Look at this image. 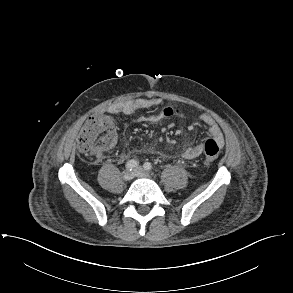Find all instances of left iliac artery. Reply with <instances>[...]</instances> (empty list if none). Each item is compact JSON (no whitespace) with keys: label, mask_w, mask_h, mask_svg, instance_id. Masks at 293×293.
<instances>
[{"label":"left iliac artery","mask_w":293,"mask_h":293,"mask_svg":"<svg viewBox=\"0 0 293 293\" xmlns=\"http://www.w3.org/2000/svg\"><path fill=\"white\" fill-rule=\"evenodd\" d=\"M143 167H144L145 170H148V171L152 170V164L149 163V162H146V163L143 165Z\"/></svg>","instance_id":"left-iliac-artery-1"}]
</instances>
